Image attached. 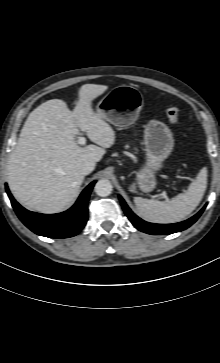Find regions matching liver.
I'll return each instance as SVG.
<instances>
[{"label": "liver", "instance_id": "1", "mask_svg": "<svg viewBox=\"0 0 220 363\" xmlns=\"http://www.w3.org/2000/svg\"><path fill=\"white\" fill-rule=\"evenodd\" d=\"M107 89L84 84L73 111L65 101L51 99L29 114L7 166L9 188L18 202L37 212L57 213L75 199L84 181L82 164L99 162L115 142L112 127L92 108ZM79 130L98 146H79Z\"/></svg>", "mask_w": 220, "mask_h": 363}]
</instances>
